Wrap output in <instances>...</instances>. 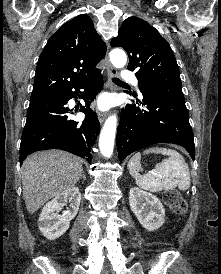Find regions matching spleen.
Here are the masks:
<instances>
[{"label": "spleen", "mask_w": 221, "mask_h": 274, "mask_svg": "<svg viewBox=\"0 0 221 274\" xmlns=\"http://www.w3.org/2000/svg\"><path fill=\"white\" fill-rule=\"evenodd\" d=\"M156 153L168 156L155 169L139 174L141 169V153H136L128 162L127 167L130 175L135 179L136 184L147 191L157 193L162 190H173L176 187L180 190H187L190 187V173L184 158L176 150L167 148H149L143 154Z\"/></svg>", "instance_id": "obj_1"}]
</instances>
